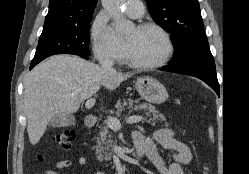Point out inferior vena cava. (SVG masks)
Instances as JSON below:
<instances>
[{"label": "inferior vena cava", "mask_w": 249, "mask_h": 174, "mask_svg": "<svg viewBox=\"0 0 249 174\" xmlns=\"http://www.w3.org/2000/svg\"><path fill=\"white\" fill-rule=\"evenodd\" d=\"M99 63L101 65V67L105 70V71H113V63L108 61V60H104V59H100Z\"/></svg>", "instance_id": "1"}]
</instances>
